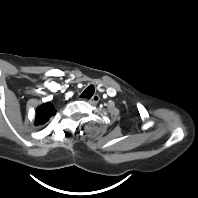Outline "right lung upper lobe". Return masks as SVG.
I'll use <instances>...</instances> for the list:
<instances>
[{"instance_id": "1", "label": "right lung upper lobe", "mask_w": 198, "mask_h": 198, "mask_svg": "<svg viewBox=\"0 0 198 198\" xmlns=\"http://www.w3.org/2000/svg\"><path fill=\"white\" fill-rule=\"evenodd\" d=\"M55 113L56 110L50 102L42 104L36 110L35 125L37 126L46 123L53 115H55Z\"/></svg>"}]
</instances>
